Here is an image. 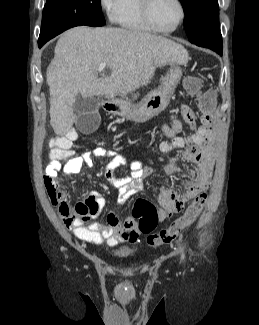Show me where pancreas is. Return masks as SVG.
I'll return each instance as SVG.
<instances>
[{
	"mask_svg": "<svg viewBox=\"0 0 259 325\" xmlns=\"http://www.w3.org/2000/svg\"><path fill=\"white\" fill-rule=\"evenodd\" d=\"M138 96H139L138 93H137V94H134V96H132L133 100H134V99H137ZM125 102H126V101H125Z\"/></svg>",
	"mask_w": 259,
	"mask_h": 325,
	"instance_id": "cf45deb5",
	"label": "pancreas"
}]
</instances>
